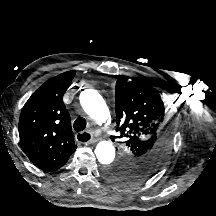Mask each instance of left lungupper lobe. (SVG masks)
I'll return each mask as SVG.
<instances>
[{
  "mask_svg": "<svg viewBox=\"0 0 216 216\" xmlns=\"http://www.w3.org/2000/svg\"><path fill=\"white\" fill-rule=\"evenodd\" d=\"M117 131L123 140L118 161L104 168L114 185L128 187L153 176L164 163L172 140L175 118L164 108L154 84L141 79H119L115 88Z\"/></svg>",
  "mask_w": 216,
  "mask_h": 216,
  "instance_id": "obj_1",
  "label": "left lung upper lobe"
}]
</instances>
